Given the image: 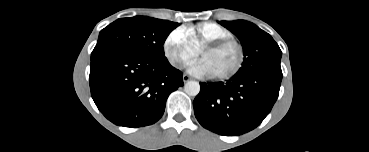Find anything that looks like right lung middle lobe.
<instances>
[{
  "label": "right lung middle lobe",
  "instance_id": "dd1d6c3e",
  "mask_svg": "<svg viewBox=\"0 0 369 152\" xmlns=\"http://www.w3.org/2000/svg\"><path fill=\"white\" fill-rule=\"evenodd\" d=\"M178 25L147 16L118 19L101 30L91 60L117 52L164 58L163 44Z\"/></svg>",
  "mask_w": 369,
  "mask_h": 152
}]
</instances>
